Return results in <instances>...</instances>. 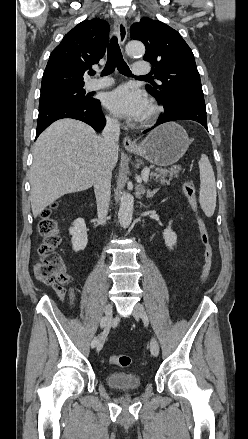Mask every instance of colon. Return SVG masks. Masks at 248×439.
<instances>
[{
    "instance_id": "5ec220e1",
    "label": "colon",
    "mask_w": 248,
    "mask_h": 439,
    "mask_svg": "<svg viewBox=\"0 0 248 439\" xmlns=\"http://www.w3.org/2000/svg\"><path fill=\"white\" fill-rule=\"evenodd\" d=\"M184 193L193 208L197 211L198 203L196 198V189L192 181L187 180L183 184ZM54 205L47 207L41 214V220L38 230L43 237V241L38 248V268L40 275L45 281L53 286H62L69 281L66 267L61 255L56 251L61 242L56 221L52 218ZM199 233L201 243L204 249V264L200 276V284L206 282L213 260V250L209 240L206 224L202 218H198ZM110 362L121 367L131 365L132 358L128 355H113Z\"/></svg>"
}]
</instances>
